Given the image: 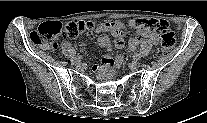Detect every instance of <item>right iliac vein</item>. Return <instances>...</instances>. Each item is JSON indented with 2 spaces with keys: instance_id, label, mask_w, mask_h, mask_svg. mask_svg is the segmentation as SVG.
Masks as SVG:
<instances>
[{
  "instance_id": "1",
  "label": "right iliac vein",
  "mask_w": 207,
  "mask_h": 123,
  "mask_svg": "<svg viewBox=\"0 0 207 123\" xmlns=\"http://www.w3.org/2000/svg\"><path fill=\"white\" fill-rule=\"evenodd\" d=\"M73 64H75V65H77V66H81V65H82V63H81L80 60L75 61Z\"/></svg>"
}]
</instances>
